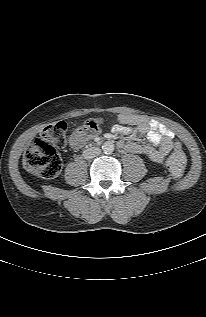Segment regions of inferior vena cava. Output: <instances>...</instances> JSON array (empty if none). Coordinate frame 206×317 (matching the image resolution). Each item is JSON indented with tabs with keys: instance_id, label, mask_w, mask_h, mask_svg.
Returning a JSON list of instances; mask_svg holds the SVG:
<instances>
[{
	"instance_id": "obj_1",
	"label": "inferior vena cava",
	"mask_w": 206,
	"mask_h": 317,
	"mask_svg": "<svg viewBox=\"0 0 206 317\" xmlns=\"http://www.w3.org/2000/svg\"><path fill=\"white\" fill-rule=\"evenodd\" d=\"M101 150L98 147H89L83 151V157L85 159H92L100 155Z\"/></svg>"
}]
</instances>
